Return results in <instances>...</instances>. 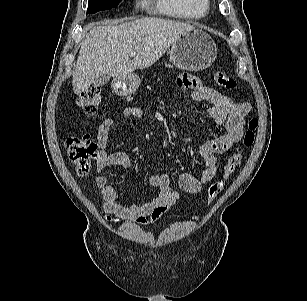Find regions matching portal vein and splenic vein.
Instances as JSON below:
<instances>
[{"label":"portal vein and splenic vein","instance_id":"1","mask_svg":"<svg viewBox=\"0 0 307 301\" xmlns=\"http://www.w3.org/2000/svg\"><path fill=\"white\" fill-rule=\"evenodd\" d=\"M129 55H130L131 57H134V56L136 55V52L132 51V52L129 53Z\"/></svg>","mask_w":307,"mask_h":301}]
</instances>
